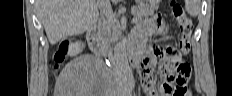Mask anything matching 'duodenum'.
I'll use <instances>...</instances> for the list:
<instances>
[{"label":"duodenum","mask_w":232,"mask_h":96,"mask_svg":"<svg viewBox=\"0 0 232 96\" xmlns=\"http://www.w3.org/2000/svg\"><path fill=\"white\" fill-rule=\"evenodd\" d=\"M100 25L94 24L87 33L89 49L98 58L103 57V48L99 40ZM130 64L136 68L138 66L139 51L136 46H130L127 49Z\"/></svg>","instance_id":"1"}]
</instances>
